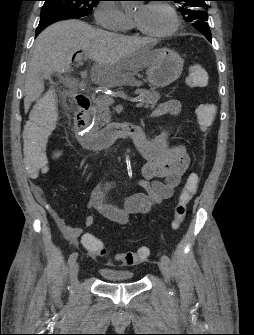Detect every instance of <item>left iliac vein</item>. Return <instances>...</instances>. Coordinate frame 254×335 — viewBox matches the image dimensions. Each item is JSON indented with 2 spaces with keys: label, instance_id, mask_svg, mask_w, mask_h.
Returning <instances> with one entry per match:
<instances>
[{
  "label": "left iliac vein",
  "instance_id": "4c4485c4",
  "mask_svg": "<svg viewBox=\"0 0 254 335\" xmlns=\"http://www.w3.org/2000/svg\"><path fill=\"white\" fill-rule=\"evenodd\" d=\"M159 269L161 271V273L163 274L164 278L166 279V281L169 279V268H168V264L165 263L164 261H160L158 263Z\"/></svg>",
  "mask_w": 254,
  "mask_h": 335
}]
</instances>
